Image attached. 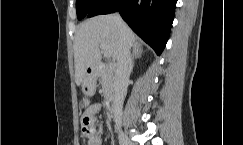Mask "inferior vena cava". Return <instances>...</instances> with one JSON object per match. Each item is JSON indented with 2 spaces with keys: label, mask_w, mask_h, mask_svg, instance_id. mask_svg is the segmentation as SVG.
Masks as SVG:
<instances>
[{
  "label": "inferior vena cava",
  "mask_w": 243,
  "mask_h": 145,
  "mask_svg": "<svg viewBox=\"0 0 243 145\" xmlns=\"http://www.w3.org/2000/svg\"><path fill=\"white\" fill-rule=\"evenodd\" d=\"M116 20L120 27L122 42L117 57V67L114 79V113L116 118L120 121L122 116L123 101L126 96L129 76L133 68V63L130 53L131 44L127 38L125 25L119 14H116Z\"/></svg>",
  "instance_id": "602c4592"
}]
</instances>
